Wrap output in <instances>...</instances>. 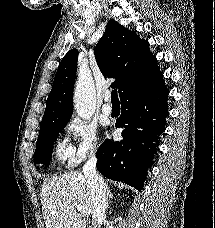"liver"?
I'll return each instance as SVG.
<instances>
[{
	"mask_svg": "<svg viewBox=\"0 0 215 228\" xmlns=\"http://www.w3.org/2000/svg\"><path fill=\"white\" fill-rule=\"evenodd\" d=\"M41 210L46 228H86L84 216L77 214L78 204L93 214V200L90 186L83 174L67 172L62 176H51L40 188Z\"/></svg>",
	"mask_w": 215,
	"mask_h": 228,
	"instance_id": "liver-1",
	"label": "liver"
}]
</instances>
